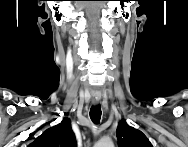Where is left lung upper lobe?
I'll use <instances>...</instances> for the list:
<instances>
[{"label": "left lung upper lobe", "instance_id": "left-lung-upper-lobe-1", "mask_svg": "<svg viewBox=\"0 0 188 147\" xmlns=\"http://www.w3.org/2000/svg\"><path fill=\"white\" fill-rule=\"evenodd\" d=\"M116 136L118 147H152V144L140 130L128 126L124 120L119 123Z\"/></svg>", "mask_w": 188, "mask_h": 147}]
</instances>
